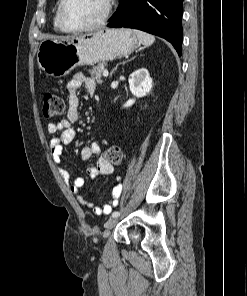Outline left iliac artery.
I'll use <instances>...</instances> for the list:
<instances>
[{
    "label": "left iliac artery",
    "mask_w": 247,
    "mask_h": 296,
    "mask_svg": "<svg viewBox=\"0 0 247 296\" xmlns=\"http://www.w3.org/2000/svg\"><path fill=\"white\" fill-rule=\"evenodd\" d=\"M118 216H120V212L115 211L112 213V217H118Z\"/></svg>",
    "instance_id": "left-iliac-artery-1"
}]
</instances>
